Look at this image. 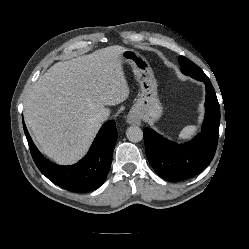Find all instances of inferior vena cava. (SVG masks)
I'll list each match as a JSON object with an SVG mask.
<instances>
[{
  "mask_svg": "<svg viewBox=\"0 0 249 249\" xmlns=\"http://www.w3.org/2000/svg\"><path fill=\"white\" fill-rule=\"evenodd\" d=\"M109 115H110V113L108 111L104 110L97 115V119L99 121L103 122L109 117Z\"/></svg>",
  "mask_w": 249,
  "mask_h": 249,
  "instance_id": "obj_1",
  "label": "inferior vena cava"
}]
</instances>
